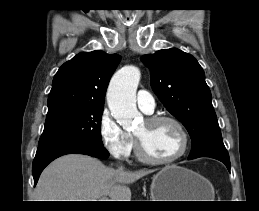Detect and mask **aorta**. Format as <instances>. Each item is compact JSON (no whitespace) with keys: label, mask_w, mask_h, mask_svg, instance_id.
<instances>
[{"label":"aorta","mask_w":259,"mask_h":211,"mask_svg":"<svg viewBox=\"0 0 259 211\" xmlns=\"http://www.w3.org/2000/svg\"><path fill=\"white\" fill-rule=\"evenodd\" d=\"M140 76L137 67H124L114 74L108 87V107L125 130L134 128L141 116L136 107V89Z\"/></svg>","instance_id":"obj_1"}]
</instances>
